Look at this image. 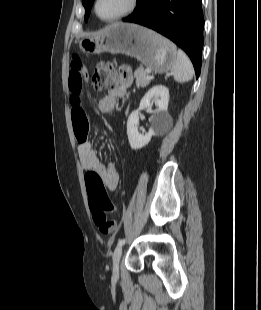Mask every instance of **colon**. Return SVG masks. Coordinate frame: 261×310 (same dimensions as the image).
I'll list each match as a JSON object with an SVG mask.
<instances>
[{
  "mask_svg": "<svg viewBox=\"0 0 261 310\" xmlns=\"http://www.w3.org/2000/svg\"><path fill=\"white\" fill-rule=\"evenodd\" d=\"M91 85L96 91L117 85L114 68L109 61H100L96 64ZM85 182L95 225L103 234L113 233L117 225L114 220L107 217V212L114 211L115 206L108 197L101 176L95 171H88L85 174Z\"/></svg>",
  "mask_w": 261,
  "mask_h": 310,
  "instance_id": "5ec220e1",
  "label": "colon"
}]
</instances>
